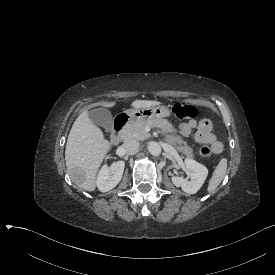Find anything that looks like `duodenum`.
Wrapping results in <instances>:
<instances>
[{
	"label": "duodenum",
	"mask_w": 275,
	"mask_h": 275,
	"mask_svg": "<svg viewBox=\"0 0 275 275\" xmlns=\"http://www.w3.org/2000/svg\"><path fill=\"white\" fill-rule=\"evenodd\" d=\"M130 118H131L130 115L125 113L120 114L115 118L113 123V129L110 136L111 142L113 144L119 143L120 140L122 139L124 129L128 125Z\"/></svg>",
	"instance_id": "obj_1"
}]
</instances>
